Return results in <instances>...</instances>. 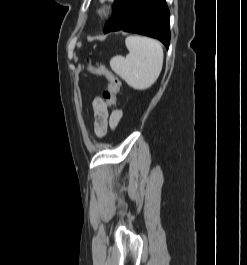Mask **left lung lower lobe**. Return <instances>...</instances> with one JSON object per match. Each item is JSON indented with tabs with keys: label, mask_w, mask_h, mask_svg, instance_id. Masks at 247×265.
I'll return each instance as SVG.
<instances>
[{
	"label": "left lung lower lobe",
	"mask_w": 247,
	"mask_h": 265,
	"mask_svg": "<svg viewBox=\"0 0 247 265\" xmlns=\"http://www.w3.org/2000/svg\"><path fill=\"white\" fill-rule=\"evenodd\" d=\"M113 6L104 33L118 30L139 33L159 39L169 47L170 13L165 0H115Z\"/></svg>",
	"instance_id": "0a47b994"
}]
</instances>
